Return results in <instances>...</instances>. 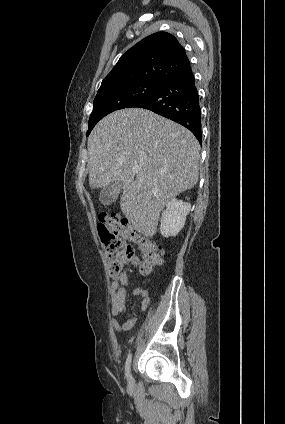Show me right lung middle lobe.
Here are the masks:
<instances>
[{"label": "right lung middle lobe", "instance_id": "right-lung-middle-lobe-1", "mask_svg": "<svg viewBox=\"0 0 285 424\" xmlns=\"http://www.w3.org/2000/svg\"><path fill=\"white\" fill-rule=\"evenodd\" d=\"M163 83L160 81H139L98 91L93 102L87 135L104 116L113 111L131 107L135 102L157 91Z\"/></svg>", "mask_w": 285, "mask_h": 424}]
</instances>
